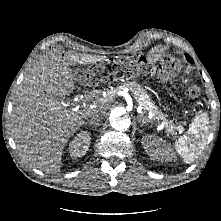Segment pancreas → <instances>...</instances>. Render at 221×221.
Returning <instances> with one entry per match:
<instances>
[{"label":"pancreas","mask_w":221,"mask_h":221,"mask_svg":"<svg viewBox=\"0 0 221 221\" xmlns=\"http://www.w3.org/2000/svg\"><path fill=\"white\" fill-rule=\"evenodd\" d=\"M124 88H128L131 94L133 95L134 99L137 100L143 106L144 109L152 112L155 119L164 122L165 126L168 128L169 131L172 130V121L167 120L166 115L158 109V107L151 101L147 92L138 83L134 81L126 82L118 86L116 89L110 91L108 94L114 95L115 91H119Z\"/></svg>","instance_id":"pancreas-1"}]
</instances>
